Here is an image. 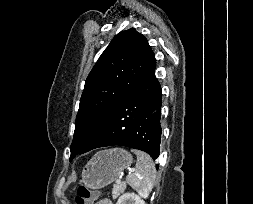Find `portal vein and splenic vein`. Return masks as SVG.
I'll list each match as a JSON object with an SVG mask.
<instances>
[{
    "label": "portal vein and splenic vein",
    "mask_w": 253,
    "mask_h": 204,
    "mask_svg": "<svg viewBox=\"0 0 253 204\" xmlns=\"http://www.w3.org/2000/svg\"><path fill=\"white\" fill-rule=\"evenodd\" d=\"M133 172V170L132 169H129V173H132ZM121 183V179H118L117 181H116V184L117 185H119Z\"/></svg>",
    "instance_id": "1"
}]
</instances>
